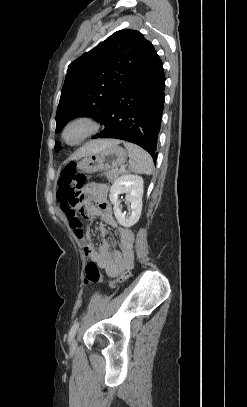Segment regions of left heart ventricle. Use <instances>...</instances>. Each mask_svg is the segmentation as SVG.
I'll list each match as a JSON object with an SVG mask.
<instances>
[{"mask_svg": "<svg viewBox=\"0 0 247 407\" xmlns=\"http://www.w3.org/2000/svg\"><path fill=\"white\" fill-rule=\"evenodd\" d=\"M83 131V127L82 126H75L72 129H70V131L67 134V137L69 140H73L76 137L79 136V134Z\"/></svg>", "mask_w": 247, "mask_h": 407, "instance_id": "1", "label": "left heart ventricle"}]
</instances>
